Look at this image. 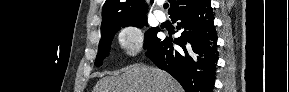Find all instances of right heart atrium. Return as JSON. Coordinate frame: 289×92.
I'll list each match as a JSON object with an SVG mask.
<instances>
[{"label":"right heart atrium","mask_w":289,"mask_h":92,"mask_svg":"<svg viewBox=\"0 0 289 92\" xmlns=\"http://www.w3.org/2000/svg\"><path fill=\"white\" fill-rule=\"evenodd\" d=\"M116 37L119 47L127 57H134L143 50L145 36L143 29L138 25L121 27Z\"/></svg>","instance_id":"d8ad5b80"}]
</instances>
